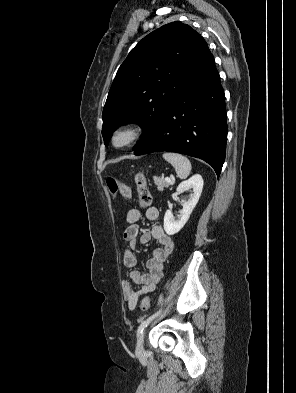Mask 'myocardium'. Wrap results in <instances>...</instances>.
Segmentation results:
<instances>
[{"label": "myocardium", "mask_w": 296, "mask_h": 393, "mask_svg": "<svg viewBox=\"0 0 296 393\" xmlns=\"http://www.w3.org/2000/svg\"><path fill=\"white\" fill-rule=\"evenodd\" d=\"M146 133V126L139 120H130L122 123L111 134V144L117 149H124L138 140ZM124 136L122 142H118V138Z\"/></svg>", "instance_id": "obj_1"}]
</instances>
